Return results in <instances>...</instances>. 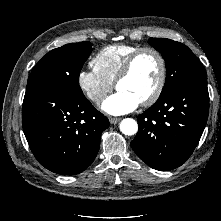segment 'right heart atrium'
<instances>
[{"mask_svg": "<svg viewBox=\"0 0 221 221\" xmlns=\"http://www.w3.org/2000/svg\"><path fill=\"white\" fill-rule=\"evenodd\" d=\"M77 83L85 97L94 104H100L114 87V83L93 68L82 69L78 74Z\"/></svg>", "mask_w": 221, "mask_h": 221, "instance_id": "1", "label": "right heart atrium"}]
</instances>
